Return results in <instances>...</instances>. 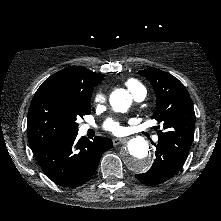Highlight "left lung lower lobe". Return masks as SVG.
<instances>
[{"instance_id": "1", "label": "left lung lower lobe", "mask_w": 221, "mask_h": 221, "mask_svg": "<svg viewBox=\"0 0 221 221\" xmlns=\"http://www.w3.org/2000/svg\"><path fill=\"white\" fill-rule=\"evenodd\" d=\"M156 158L150 170L135 177L144 184L156 185L170 179L184 165L166 146L157 144Z\"/></svg>"}]
</instances>
